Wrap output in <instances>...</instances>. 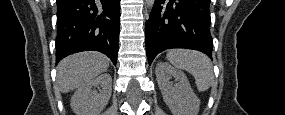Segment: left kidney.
Returning a JSON list of instances; mask_svg holds the SVG:
<instances>
[{
    "label": "left kidney",
    "instance_id": "obj_1",
    "mask_svg": "<svg viewBox=\"0 0 285 115\" xmlns=\"http://www.w3.org/2000/svg\"><path fill=\"white\" fill-rule=\"evenodd\" d=\"M155 74L163 99L175 115L198 113L200 100L193 92L184 72L166 62H158ZM171 77H174L178 83L170 82Z\"/></svg>",
    "mask_w": 285,
    "mask_h": 115
}]
</instances>
